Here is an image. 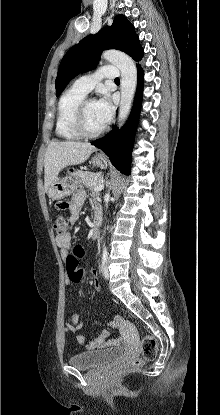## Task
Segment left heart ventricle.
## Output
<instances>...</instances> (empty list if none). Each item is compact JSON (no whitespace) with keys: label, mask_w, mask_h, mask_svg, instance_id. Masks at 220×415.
<instances>
[{"label":"left heart ventricle","mask_w":220,"mask_h":415,"mask_svg":"<svg viewBox=\"0 0 220 415\" xmlns=\"http://www.w3.org/2000/svg\"><path fill=\"white\" fill-rule=\"evenodd\" d=\"M84 118H85V126L87 130L90 132H95L103 126V124L101 123V121L99 120L96 114L95 102H90L87 104L85 108Z\"/></svg>","instance_id":"obj_1"}]
</instances>
